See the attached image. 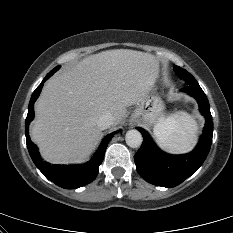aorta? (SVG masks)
I'll return each instance as SVG.
<instances>
[{
    "instance_id": "762f6f07",
    "label": "aorta",
    "mask_w": 233,
    "mask_h": 233,
    "mask_svg": "<svg viewBox=\"0 0 233 233\" xmlns=\"http://www.w3.org/2000/svg\"><path fill=\"white\" fill-rule=\"evenodd\" d=\"M125 141L129 147L137 148L141 146L143 138L139 131L133 129V130L127 131L126 136H125Z\"/></svg>"
}]
</instances>
